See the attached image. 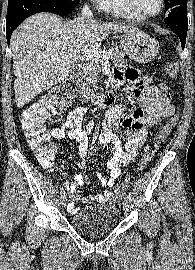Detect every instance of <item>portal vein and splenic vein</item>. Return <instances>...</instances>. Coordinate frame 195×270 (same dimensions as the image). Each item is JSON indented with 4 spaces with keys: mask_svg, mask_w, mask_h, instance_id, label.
I'll return each instance as SVG.
<instances>
[{
    "mask_svg": "<svg viewBox=\"0 0 195 270\" xmlns=\"http://www.w3.org/2000/svg\"><path fill=\"white\" fill-rule=\"evenodd\" d=\"M84 55L87 59L93 60V61H108L112 59L113 55L111 53H107L104 51H96V50H86L84 52Z\"/></svg>",
    "mask_w": 195,
    "mask_h": 270,
    "instance_id": "obj_1",
    "label": "portal vein and splenic vein"
}]
</instances>
